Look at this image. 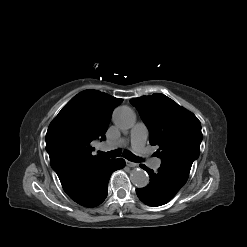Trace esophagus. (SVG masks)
<instances>
[{"label":"esophagus","mask_w":247,"mask_h":247,"mask_svg":"<svg viewBox=\"0 0 247 247\" xmlns=\"http://www.w3.org/2000/svg\"><path fill=\"white\" fill-rule=\"evenodd\" d=\"M126 165L128 167H135V166H137V163H134V162H131V161L126 160Z\"/></svg>","instance_id":"obj_1"}]
</instances>
